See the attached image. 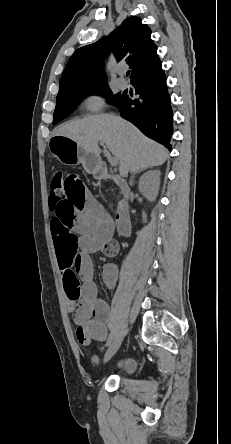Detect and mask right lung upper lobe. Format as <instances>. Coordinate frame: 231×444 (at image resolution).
Returning <instances> with one entry per match:
<instances>
[{"mask_svg": "<svg viewBox=\"0 0 231 444\" xmlns=\"http://www.w3.org/2000/svg\"><path fill=\"white\" fill-rule=\"evenodd\" d=\"M151 29L139 17H131L115 29L109 38L78 48L69 59L60 80L59 93L107 85L104 59L113 51L118 61L124 59L132 69L131 80L161 65Z\"/></svg>", "mask_w": 231, "mask_h": 444, "instance_id": "obj_1", "label": "right lung upper lobe"}]
</instances>
